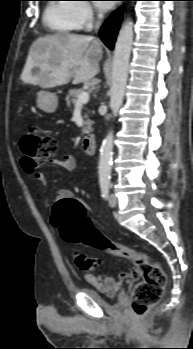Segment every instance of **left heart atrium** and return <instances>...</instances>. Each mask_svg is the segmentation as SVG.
<instances>
[{"label":"left heart atrium","mask_w":193,"mask_h":349,"mask_svg":"<svg viewBox=\"0 0 193 349\" xmlns=\"http://www.w3.org/2000/svg\"><path fill=\"white\" fill-rule=\"evenodd\" d=\"M111 6H112V4L106 3V2L98 4V7L102 10H107V9L111 8Z\"/></svg>","instance_id":"left-heart-atrium-1"}]
</instances>
